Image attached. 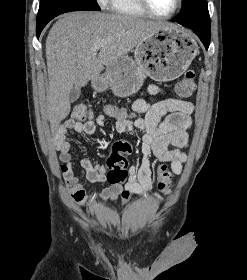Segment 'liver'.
Instances as JSON below:
<instances>
[{
	"label": "liver",
	"instance_id": "obj_1",
	"mask_svg": "<svg viewBox=\"0 0 247 280\" xmlns=\"http://www.w3.org/2000/svg\"><path fill=\"white\" fill-rule=\"evenodd\" d=\"M175 25L99 12H72L52 26L46 39L48 116L55 131L71 109L69 95L97 77L141 41ZM102 44L100 51L95 45Z\"/></svg>",
	"mask_w": 247,
	"mask_h": 280
}]
</instances>
